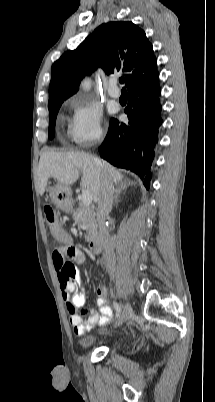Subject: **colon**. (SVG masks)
Wrapping results in <instances>:
<instances>
[{"label": "colon", "instance_id": "colon-1", "mask_svg": "<svg viewBox=\"0 0 215 402\" xmlns=\"http://www.w3.org/2000/svg\"><path fill=\"white\" fill-rule=\"evenodd\" d=\"M44 214L52 235L57 239L59 244H68L69 236L64 235V232L56 218L54 209L51 206H46L44 208ZM70 269V266L67 268Z\"/></svg>", "mask_w": 215, "mask_h": 402}]
</instances>
